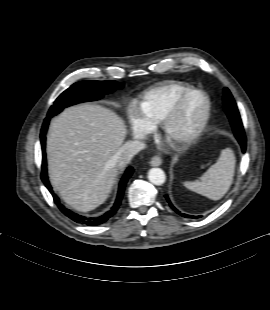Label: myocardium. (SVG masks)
Instances as JSON below:
<instances>
[{
	"instance_id": "myocardium-1",
	"label": "myocardium",
	"mask_w": 270,
	"mask_h": 310,
	"mask_svg": "<svg viewBox=\"0 0 270 310\" xmlns=\"http://www.w3.org/2000/svg\"><path fill=\"white\" fill-rule=\"evenodd\" d=\"M192 97H198L202 102L201 112L195 125L189 130L176 133L173 126L185 105ZM211 111V101L207 93L201 89L191 88L180 95L170 107L160 123L162 140L174 149H185L196 142L203 134Z\"/></svg>"
}]
</instances>
